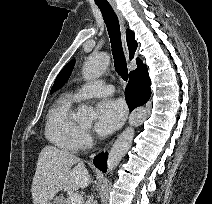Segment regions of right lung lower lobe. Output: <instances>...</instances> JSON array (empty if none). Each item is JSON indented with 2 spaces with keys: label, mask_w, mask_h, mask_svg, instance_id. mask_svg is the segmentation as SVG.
<instances>
[{
  "label": "right lung lower lobe",
  "mask_w": 212,
  "mask_h": 204,
  "mask_svg": "<svg viewBox=\"0 0 212 204\" xmlns=\"http://www.w3.org/2000/svg\"><path fill=\"white\" fill-rule=\"evenodd\" d=\"M151 96L150 78L147 67L141 65L129 75V82L125 90V99L130 111L145 104ZM108 154L101 153L94 159L95 166L103 172L107 171Z\"/></svg>",
  "instance_id": "right-lung-lower-lobe-1"
}]
</instances>
